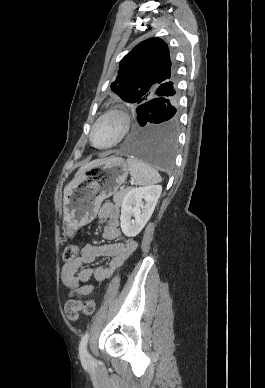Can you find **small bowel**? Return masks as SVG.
Wrapping results in <instances>:
<instances>
[{
  "mask_svg": "<svg viewBox=\"0 0 265 388\" xmlns=\"http://www.w3.org/2000/svg\"><path fill=\"white\" fill-rule=\"evenodd\" d=\"M98 218L106 222L102 236L111 242L102 245L87 244L80 255L72 262H67L61 270L62 283L70 289V297L74 293L88 295L92 292L93 286L80 283H87L94 279L104 281L109 279L114 272L129 258L136 250L137 244L134 240L118 241L120 237V209L112 203H104L98 210ZM98 257H108L110 262L105 267H83L90 264ZM65 314L70 320H77L81 305L79 302L70 299L64 307Z\"/></svg>",
  "mask_w": 265,
  "mask_h": 388,
  "instance_id": "small-bowel-1",
  "label": "small bowel"
}]
</instances>
